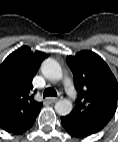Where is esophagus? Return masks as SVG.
Instances as JSON below:
<instances>
[{
  "label": "esophagus",
  "instance_id": "34e87169",
  "mask_svg": "<svg viewBox=\"0 0 118 142\" xmlns=\"http://www.w3.org/2000/svg\"><path fill=\"white\" fill-rule=\"evenodd\" d=\"M62 98V96H58V97H51V98H49V100L51 101V102H57L59 99H61Z\"/></svg>",
  "mask_w": 118,
  "mask_h": 142
}]
</instances>
